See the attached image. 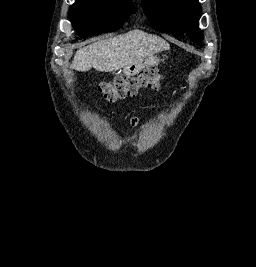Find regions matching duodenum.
<instances>
[{
  "label": "duodenum",
  "mask_w": 256,
  "mask_h": 267,
  "mask_svg": "<svg viewBox=\"0 0 256 267\" xmlns=\"http://www.w3.org/2000/svg\"><path fill=\"white\" fill-rule=\"evenodd\" d=\"M135 73H146V68H141L140 66H125V79H132V75H135Z\"/></svg>",
  "instance_id": "duodenum-1"
}]
</instances>
